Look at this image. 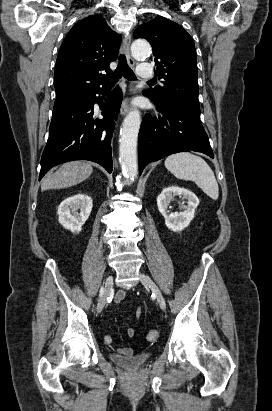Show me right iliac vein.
<instances>
[{"mask_svg":"<svg viewBox=\"0 0 272 411\" xmlns=\"http://www.w3.org/2000/svg\"><path fill=\"white\" fill-rule=\"evenodd\" d=\"M112 285H113V278L111 275H109L105 280L104 292L97 305V313H100L103 310L105 303H106L107 296L109 295L112 289Z\"/></svg>","mask_w":272,"mask_h":411,"instance_id":"63e3f726","label":"right iliac vein"}]
</instances>
